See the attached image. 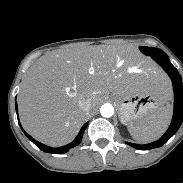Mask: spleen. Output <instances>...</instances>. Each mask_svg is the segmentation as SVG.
Returning <instances> with one entry per match:
<instances>
[{"label":"spleen","mask_w":183,"mask_h":183,"mask_svg":"<svg viewBox=\"0 0 183 183\" xmlns=\"http://www.w3.org/2000/svg\"><path fill=\"white\" fill-rule=\"evenodd\" d=\"M172 116L171 105L161 106L153 113L128 125V131L138 142L148 143L157 140L168 128Z\"/></svg>","instance_id":"spleen-1"}]
</instances>
